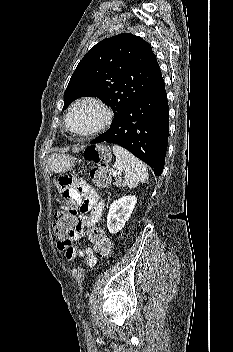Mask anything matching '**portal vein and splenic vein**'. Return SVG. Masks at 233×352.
<instances>
[{"label":"portal vein and splenic vein","instance_id":"18ae733b","mask_svg":"<svg viewBox=\"0 0 233 352\" xmlns=\"http://www.w3.org/2000/svg\"><path fill=\"white\" fill-rule=\"evenodd\" d=\"M112 175H113V177H117V176H119V173L116 172V171H113V172H112Z\"/></svg>","mask_w":233,"mask_h":352}]
</instances>
